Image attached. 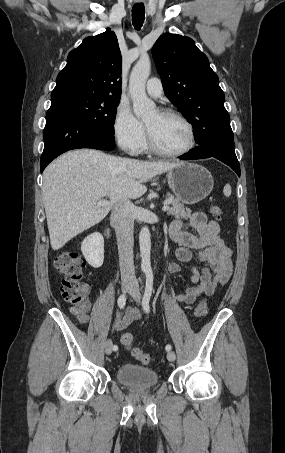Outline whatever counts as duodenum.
I'll return each instance as SVG.
<instances>
[{"label": "duodenum", "instance_id": "duodenum-1", "mask_svg": "<svg viewBox=\"0 0 285 453\" xmlns=\"http://www.w3.org/2000/svg\"><path fill=\"white\" fill-rule=\"evenodd\" d=\"M105 235H106L107 237L110 236V229H109L108 227L105 229Z\"/></svg>", "mask_w": 285, "mask_h": 453}]
</instances>
